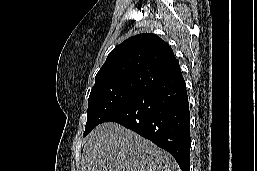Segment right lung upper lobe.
<instances>
[{
	"instance_id": "cb5924a9",
	"label": "right lung upper lobe",
	"mask_w": 257,
	"mask_h": 171,
	"mask_svg": "<svg viewBox=\"0 0 257 171\" xmlns=\"http://www.w3.org/2000/svg\"><path fill=\"white\" fill-rule=\"evenodd\" d=\"M179 71L171 47L157 35L143 33L128 38L109 53L93 88L111 84H143L148 88Z\"/></svg>"
}]
</instances>
